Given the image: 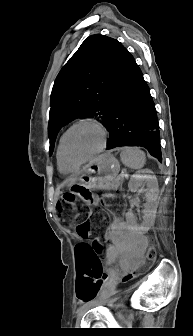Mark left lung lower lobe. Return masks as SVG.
Listing matches in <instances>:
<instances>
[{
  "label": "left lung lower lobe",
  "instance_id": "1",
  "mask_svg": "<svg viewBox=\"0 0 193 336\" xmlns=\"http://www.w3.org/2000/svg\"><path fill=\"white\" fill-rule=\"evenodd\" d=\"M110 138L107 150L141 146L162 160L157 113L143 74L127 51L106 123Z\"/></svg>",
  "mask_w": 193,
  "mask_h": 336
}]
</instances>
